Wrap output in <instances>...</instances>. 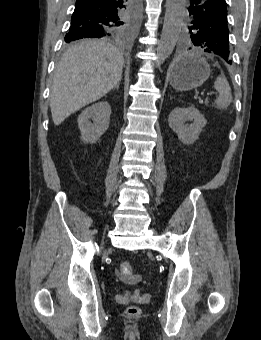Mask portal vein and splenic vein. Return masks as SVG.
<instances>
[{
	"mask_svg": "<svg viewBox=\"0 0 261 340\" xmlns=\"http://www.w3.org/2000/svg\"><path fill=\"white\" fill-rule=\"evenodd\" d=\"M215 94V92H209L207 95L208 96H213Z\"/></svg>",
	"mask_w": 261,
	"mask_h": 340,
	"instance_id": "obj_1",
	"label": "portal vein and splenic vein"
}]
</instances>
